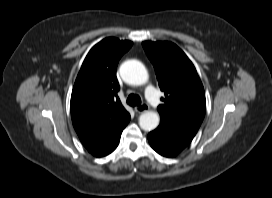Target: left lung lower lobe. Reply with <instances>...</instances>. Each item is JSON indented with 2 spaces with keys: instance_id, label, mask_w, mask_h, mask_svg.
Instances as JSON below:
<instances>
[{
  "instance_id": "obj_1",
  "label": "left lung lower lobe",
  "mask_w": 272,
  "mask_h": 198,
  "mask_svg": "<svg viewBox=\"0 0 272 198\" xmlns=\"http://www.w3.org/2000/svg\"><path fill=\"white\" fill-rule=\"evenodd\" d=\"M196 133L197 129L161 118L158 128L148 134V140L160 155L174 157L191 142Z\"/></svg>"
}]
</instances>
